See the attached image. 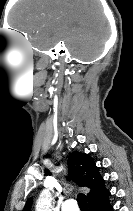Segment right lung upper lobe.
Segmentation results:
<instances>
[{"label":"right lung upper lobe","mask_w":133,"mask_h":211,"mask_svg":"<svg viewBox=\"0 0 133 211\" xmlns=\"http://www.w3.org/2000/svg\"><path fill=\"white\" fill-rule=\"evenodd\" d=\"M69 178L78 186L89 188L87 195L88 204L97 203L105 200L110 192L104 185V179L101 177L98 167L89 154L73 152L68 157ZM32 199L29 198L23 211H30Z\"/></svg>","instance_id":"cb5924a9"}]
</instances>
